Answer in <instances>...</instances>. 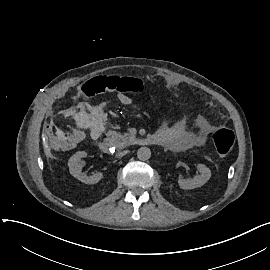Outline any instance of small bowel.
<instances>
[{
	"label": "small bowel",
	"mask_w": 270,
	"mask_h": 270,
	"mask_svg": "<svg viewBox=\"0 0 270 270\" xmlns=\"http://www.w3.org/2000/svg\"><path fill=\"white\" fill-rule=\"evenodd\" d=\"M162 79L173 93H178V81L171 76H162ZM118 101L123 105H129L132 99L128 95L119 94ZM209 132V123L205 118L199 117L196 119L193 128H189L184 122L166 123L158 128L156 134L165 148L180 152L202 145ZM46 139L54 145L56 150L69 151L76 146L80 138L76 134L64 137L60 128L51 127L46 132Z\"/></svg>",
	"instance_id": "1"
}]
</instances>
